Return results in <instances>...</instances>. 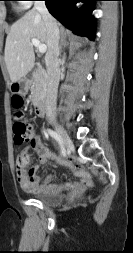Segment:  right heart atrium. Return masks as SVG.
<instances>
[{"label":"right heart atrium","instance_id":"right-heart-atrium-1","mask_svg":"<svg viewBox=\"0 0 133 253\" xmlns=\"http://www.w3.org/2000/svg\"><path fill=\"white\" fill-rule=\"evenodd\" d=\"M29 6V1H21V7L26 8Z\"/></svg>","mask_w":133,"mask_h":253}]
</instances>
